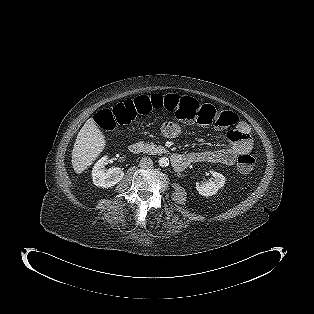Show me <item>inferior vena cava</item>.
<instances>
[{
    "label": "inferior vena cava",
    "mask_w": 314,
    "mask_h": 314,
    "mask_svg": "<svg viewBox=\"0 0 314 314\" xmlns=\"http://www.w3.org/2000/svg\"><path fill=\"white\" fill-rule=\"evenodd\" d=\"M139 165L141 168H144V169L151 168L153 166V161H152V159H150L148 157H143L140 160Z\"/></svg>",
    "instance_id": "1"
}]
</instances>
